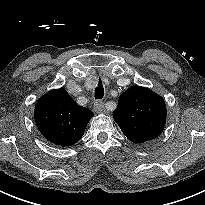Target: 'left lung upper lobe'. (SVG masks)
Returning <instances> with one entry per match:
<instances>
[{"label":"left lung upper lobe","instance_id":"1","mask_svg":"<svg viewBox=\"0 0 205 205\" xmlns=\"http://www.w3.org/2000/svg\"><path fill=\"white\" fill-rule=\"evenodd\" d=\"M113 117L130 141L141 144L163 132L166 106L150 89L132 86L120 96Z\"/></svg>","mask_w":205,"mask_h":205}]
</instances>
